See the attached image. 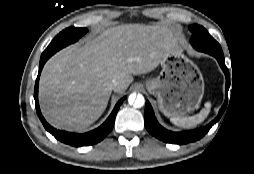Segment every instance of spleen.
<instances>
[{
    "label": "spleen",
    "instance_id": "1",
    "mask_svg": "<svg viewBox=\"0 0 254 174\" xmlns=\"http://www.w3.org/2000/svg\"><path fill=\"white\" fill-rule=\"evenodd\" d=\"M212 104L210 101L205 103V107L200 111V113L189 116V117H171L170 121L182 128H192L196 125L202 123L209 115L211 111Z\"/></svg>",
    "mask_w": 254,
    "mask_h": 174
}]
</instances>
